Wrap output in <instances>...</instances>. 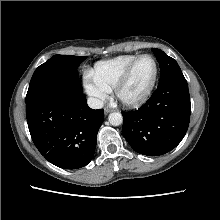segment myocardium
<instances>
[{"instance_id": "myocardium-1", "label": "myocardium", "mask_w": 220, "mask_h": 220, "mask_svg": "<svg viewBox=\"0 0 220 220\" xmlns=\"http://www.w3.org/2000/svg\"><path fill=\"white\" fill-rule=\"evenodd\" d=\"M150 58L153 60L154 65H155V73H154V77L153 80L150 84V86L148 87V89L145 91V93L135 99H127L124 98L122 96V90L123 88L126 86V84L129 82L131 75L136 67V65L138 64V62L143 59V58ZM158 76H159V66H158V62L156 60V58L150 54H142L139 55L132 63L131 65L128 67V69L126 70V72L124 73V75L122 76V78L117 82V84L114 87V93L116 98L124 105L129 106V107H138L143 105L145 102H147V100L150 98V96L152 95L154 88L156 86L157 80H158Z\"/></svg>"}]
</instances>
